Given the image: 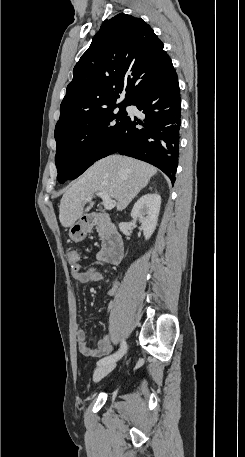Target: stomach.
<instances>
[{
    "instance_id": "1",
    "label": "stomach",
    "mask_w": 245,
    "mask_h": 457,
    "mask_svg": "<svg viewBox=\"0 0 245 457\" xmlns=\"http://www.w3.org/2000/svg\"><path fill=\"white\" fill-rule=\"evenodd\" d=\"M93 222L91 220H78L75 224H72L69 229V237L75 243H79V241H83L85 239L87 233L91 231V226Z\"/></svg>"
}]
</instances>
